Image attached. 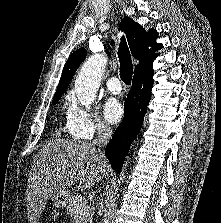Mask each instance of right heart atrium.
<instances>
[{
    "label": "right heart atrium",
    "mask_w": 221,
    "mask_h": 223,
    "mask_svg": "<svg viewBox=\"0 0 221 223\" xmlns=\"http://www.w3.org/2000/svg\"><path fill=\"white\" fill-rule=\"evenodd\" d=\"M68 99L66 127L72 137L89 140L97 134L110 132V127L98 115L83 109L73 95Z\"/></svg>",
    "instance_id": "d8ad5b80"
}]
</instances>
